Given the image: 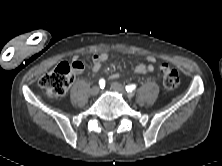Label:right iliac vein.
Here are the masks:
<instances>
[{"label":"right iliac vein","mask_w":222,"mask_h":166,"mask_svg":"<svg viewBox=\"0 0 222 166\" xmlns=\"http://www.w3.org/2000/svg\"><path fill=\"white\" fill-rule=\"evenodd\" d=\"M99 91H100V88L98 86H94L91 88L90 93H91V95L95 96L99 93Z\"/></svg>","instance_id":"obj_1"}]
</instances>
